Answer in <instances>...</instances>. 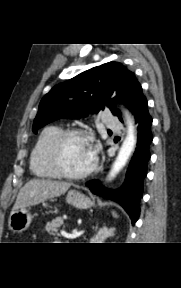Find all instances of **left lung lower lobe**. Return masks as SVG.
I'll return each mask as SVG.
<instances>
[{
	"instance_id": "1",
	"label": "left lung lower lobe",
	"mask_w": 181,
	"mask_h": 288,
	"mask_svg": "<svg viewBox=\"0 0 181 288\" xmlns=\"http://www.w3.org/2000/svg\"><path fill=\"white\" fill-rule=\"evenodd\" d=\"M130 110L138 124V141L122 187L111 191L102 187L100 182L96 180L89 181L86 185L90 187L93 193L119 203L129 214L132 225H134L140 214L139 202L143 191V180L147 174V162L151 156L149 146L153 140L151 133L152 117L148 112V103L142 88L137 92Z\"/></svg>"
}]
</instances>
